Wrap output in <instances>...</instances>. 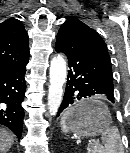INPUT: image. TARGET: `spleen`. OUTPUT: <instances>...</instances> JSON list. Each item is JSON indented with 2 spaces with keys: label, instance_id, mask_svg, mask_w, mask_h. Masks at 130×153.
<instances>
[{
  "label": "spleen",
  "instance_id": "spleen-1",
  "mask_svg": "<svg viewBox=\"0 0 130 153\" xmlns=\"http://www.w3.org/2000/svg\"><path fill=\"white\" fill-rule=\"evenodd\" d=\"M72 111L73 108L68 109L61 118V129L64 133H68L69 131L66 125V119ZM102 140L104 146L95 144L92 147H88V153H124L120 133L117 127L107 126L102 132Z\"/></svg>",
  "mask_w": 130,
  "mask_h": 153
}]
</instances>
